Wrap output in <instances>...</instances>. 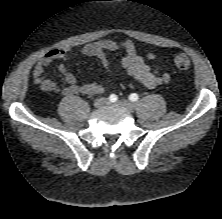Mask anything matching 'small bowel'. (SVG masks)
Masks as SVG:
<instances>
[{
    "mask_svg": "<svg viewBox=\"0 0 222 219\" xmlns=\"http://www.w3.org/2000/svg\"><path fill=\"white\" fill-rule=\"evenodd\" d=\"M123 49L125 56L122 58L120 67L127 72L135 81L147 88H154L158 85L168 83L171 80L169 71L162 67H151L147 60H155L153 53H148L144 59L137 54L133 41L125 40L116 42L110 39H103L88 43L80 48L72 49L69 46L59 47L48 51L36 63L32 72V81L43 91L55 92L67 95H99L105 91V87L97 82L78 84L74 74L66 67V61L71 55L93 56L99 59L102 66L111 72V65L106 55L108 51ZM61 61L59 71L63 76V84H59L50 78L46 70L55 61Z\"/></svg>",
    "mask_w": 222,
    "mask_h": 219,
    "instance_id": "c3829d8e",
    "label": "small bowel"
}]
</instances>
